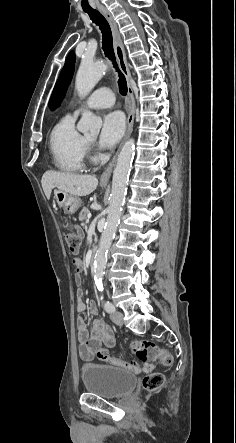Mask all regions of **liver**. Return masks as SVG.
<instances>
[{
    "instance_id": "6515ba94",
    "label": "liver",
    "mask_w": 236,
    "mask_h": 443,
    "mask_svg": "<svg viewBox=\"0 0 236 443\" xmlns=\"http://www.w3.org/2000/svg\"><path fill=\"white\" fill-rule=\"evenodd\" d=\"M41 184L47 199H50L52 189L55 187L73 196H87L96 189L98 179L92 175L49 170L43 174Z\"/></svg>"
}]
</instances>
